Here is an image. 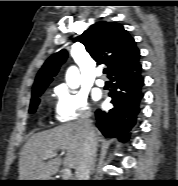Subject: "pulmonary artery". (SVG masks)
<instances>
[{
  "label": "pulmonary artery",
  "mask_w": 178,
  "mask_h": 186,
  "mask_svg": "<svg viewBox=\"0 0 178 186\" xmlns=\"http://www.w3.org/2000/svg\"><path fill=\"white\" fill-rule=\"evenodd\" d=\"M96 84L98 86H104V84H105L104 80L101 78V72L100 71L97 72Z\"/></svg>",
  "instance_id": "obj_1"
}]
</instances>
